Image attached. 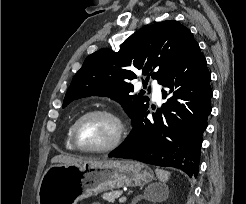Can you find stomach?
<instances>
[{"label": "stomach", "instance_id": "stomach-1", "mask_svg": "<svg viewBox=\"0 0 246 204\" xmlns=\"http://www.w3.org/2000/svg\"><path fill=\"white\" fill-rule=\"evenodd\" d=\"M154 179L150 167L132 160L85 161L50 166L40 181L38 204H77L79 200Z\"/></svg>", "mask_w": 246, "mask_h": 204}]
</instances>
